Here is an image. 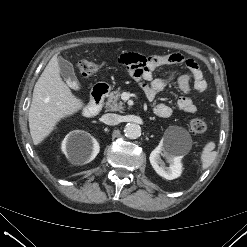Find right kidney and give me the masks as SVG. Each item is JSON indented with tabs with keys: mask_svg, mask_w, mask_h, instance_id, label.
Instances as JSON below:
<instances>
[{
	"mask_svg": "<svg viewBox=\"0 0 247 247\" xmlns=\"http://www.w3.org/2000/svg\"><path fill=\"white\" fill-rule=\"evenodd\" d=\"M77 133H80L83 136H85V137L90 139V142H91V155H90L89 161L93 160L97 156L99 151H100V146H99L98 141L88 133H84V132H80V131H77ZM61 149L65 154L67 153V139L66 138L62 141Z\"/></svg>",
	"mask_w": 247,
	"mask_h": 247,
	"instance_id": "1",
	"label": "right kidney"
}]
</instances>
